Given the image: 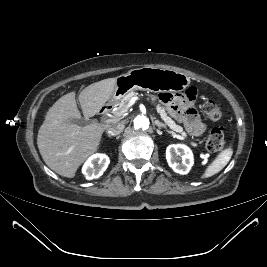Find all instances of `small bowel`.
<instances>
[{
  "instance_id": "obj_1",
  "label": "small bowel",
  "mask_w": 267,
  "mask_h": 267,
  "mask_svg": "<svg viewBox=\"0 0 267 267\" xmlns=\"http://www.w3.org/2000/svg\"><path fill=\"white\" fill-rule=\"evenodd\" d=\"M195 96L196 90L190 88L185 94L163 93L160 100L167 111L185 125L191 135L200 136L205 132L206 126L200 121L194 108Z\"/></svg>"
}]
</instances>
